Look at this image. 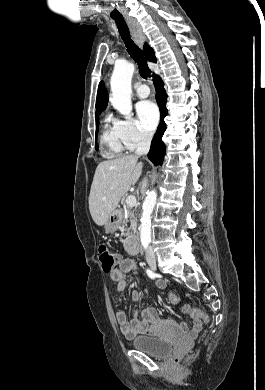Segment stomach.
Masks as SVG:
<instances>
[{
	"mask_svg": "<svg viewBox=\"0 0 265 390\" xmlns=\"http://www.w3.org/2000/svg\"><path fill=\"white\" fill-rule=\"evenodd\" d=\"M121 217L118 212L113 211L108 220L104 224V229L107 234H113L120 226Z\"/></svg>",
	"mask_w": 265,
	"mask_h": 390,
	"instance_id": "0dacf381",
	"label": "stomach"
}]
</instances>
